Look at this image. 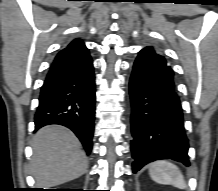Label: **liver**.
Here are the masks:
<instances>
[{
  "instance_id": "6515ba94",
  "label": "liver",
  "mask_w": 218,
  "mask_h": 191,
  "mask_svg": "<svg viewBox=\"0 0 218 191\" xmlns=\"http://www.w3.org/2000/svg\"><path fill=\"white\" fill-rule=\"evenodd\" d=\"M31 173L36 186L54 187L83 175L88 161L81 143L67 128H41L32 141Z\"/></svg>"
}]
</instances>
